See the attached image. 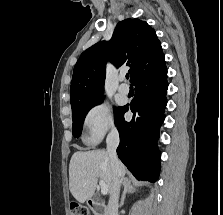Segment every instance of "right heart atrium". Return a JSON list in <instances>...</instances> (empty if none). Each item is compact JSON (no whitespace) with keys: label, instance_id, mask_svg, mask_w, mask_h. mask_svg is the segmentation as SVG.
<instances>
[{"label":"right heart atrium","instance_id":"right-heart-atrium-1","mask_svg":"<svg viewBox=\"0 0 223 215\" xmlns=\"http://www.w3.org/2000/svg\"><path fill=\"white\" fill-rule=\"evenodd\" d=\"M83 126L92 132V139L98 140L115 129L114 118L110 106L105 102H96L85 113Z\"/></svg>","mask_w":223,"mask_h":215}]
</instances>
